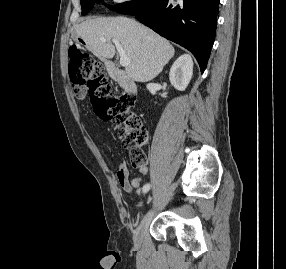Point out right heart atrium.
<instances>
[{"label":"right heart atrium","instance_id":"1","mask_svg":"<svg viewBox=\"0 0 286 269\" xmlns=\"http://www.w3.org/2000/svg\"><path fill=\"white\" fill-rule=\"evenodd\" d=\"M129 1H131V0H113V2L115 4H118V5L124 4V3L129 2Z\"/></svg>","mask_w":286,"mask_h":269}]
</instances>
